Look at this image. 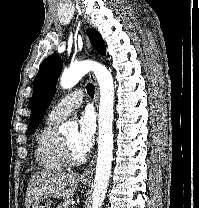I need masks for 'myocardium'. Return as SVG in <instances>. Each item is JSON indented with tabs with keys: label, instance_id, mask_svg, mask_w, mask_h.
Returning a JSON list of instances; mask_svg holds the SVG:
<instances>
[{
	"label": "myocardium",
	"instance_id": "1",
	"mask_svg": "<svg viewBox=\"0 0 199 208\" xmlns=\"http://www.w3.org/2000/svg\"><path fill=\"white\" fill-rule=\"evenodd\" d=\"M63 151H64L65 160L69 166L81 165L86 161L85 155L78 157L73 153L66 139L63 140Z\"/></svg>",
	"mask_w": 199,
	"mask_h": 208
}]
</instances>
